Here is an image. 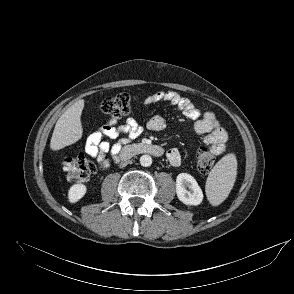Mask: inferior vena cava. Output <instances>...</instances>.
Instances as JSON below:
<instances>
[{
  "instance_id": "602c4592",
  "label": "inferior vena cava",
  "mask_w": 294,
  "mask_h": 294,
  "mask_svg": "<svg viewBox=\"0 0 294 294\" xmlns=\"http://www.w3.org/2000/svg\"><path fill=\"white\" fill-rule=\"evenodd\" d=\"M128 164V161H122L121 164H120V167H124Z\"/></svg>"
}]
</instances>
